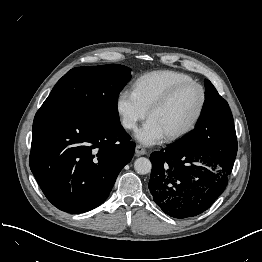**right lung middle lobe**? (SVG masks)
<instances>
[{
  "mask_svg": "<svg viewBox=\"0 0 262 262\" xmlns=\"http://www.w3.org/2000/svg\"><path fill=\"white\" fill-rule=\"evenodd\" d=\"M131 69L118 64L76 67L54 86L43 108H62L101 123H119L118 95L130 80Z\"/></svg>",
  "mask_w": 262,
  "mask_h": 262,
  "instance_id": "right-lung-middle-lobe-1",
  "label": "right lung middle lobe"
}]
</instances>
